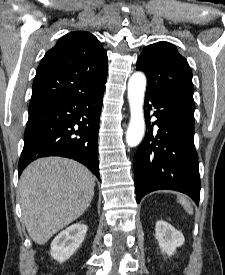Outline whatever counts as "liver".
Here are the masks:
<instances>
[{"label": "liver", "instance_id": "6515ba94", "mask_svg": "<svg viewBox=\"0 0 225 275\" xmlns=\"http://www.w3.org/2000/svg\"><path fill=\"white\" fill-rule=\"evenodd\" d=\"M95 178L82 164L61 157L35 160L19 182L22 216L29 236L45 244L80 217L94 195Z\"/></svg>", "mask_w": 225, "mask_h": 275}]
</instances>
